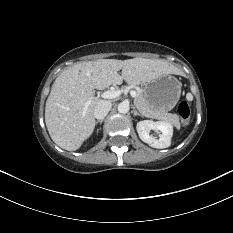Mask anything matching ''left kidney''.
Instances as JSON below:
<instances>
[{
    "label": "left kidney",
    "instance_id": "obj_1",
    "mask_svg": "<svg viewBox=\"0 0 233 233\" xmlns=\"http://www.w3.org/2000/svg\"><path fill=\"white\" fill-rule=\"evenodd\" d=\"M140 139L153 148L163 149L171 144L173 126L164 121L154 122L152 120L139 121L136 126ZM160 131L158 139L150 135V131Z\"/></svg>",
    "mask_w": 233,
    "mask_h": 233
}]
</instances>
